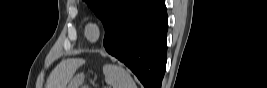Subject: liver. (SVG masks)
Returning <instances> with one entry per match:
<instances>
[{"instance_id":"obj_1","label":"liver","mask_w":267,"mask_h":88,"mask_svg":"<svg viewBox=\"0 0 267 88\" xmlns=\"http://www.w3.org/2000/svg\"><path fill=\"white\" fill-rule=\"evenodd\" d=\"M82 60L67 59L60 62L50 73L46 88H66Z\"/></svg>"}]
</instances>
